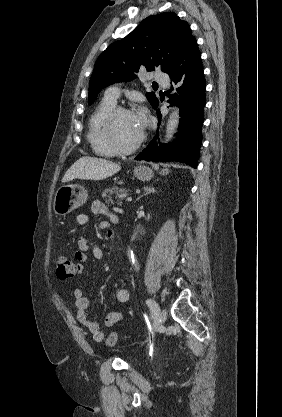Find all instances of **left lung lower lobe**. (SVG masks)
<instances>
[{"instance_id":"1","label":"left lung lower lobe","mask_w":282,"mask_h":417,"mask_svg":"<svg viewBox=\"0 0 282 417\" xmlns=\"http://www.w3.org/2000/svg\"><path fill=\"white\" fill-rule=\"evenodd\" d=\"M174 83L169 102L180 107V124L177 140L169 145H157L159 130L148 146L135 159L153 162H182L193 168L197 167L199 148L201 145V127L203 124V110L206 104L203 65L196 39L190 41L177 56L173 65L166 72ZM158 103L153 106L156 109ZM159 124L160 111L157 110Z\"/></svg>"}]
</instances>
